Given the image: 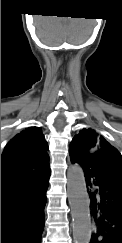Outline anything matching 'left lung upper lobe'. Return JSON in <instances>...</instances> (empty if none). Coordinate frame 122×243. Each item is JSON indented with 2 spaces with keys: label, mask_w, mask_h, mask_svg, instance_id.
Returning a JSON list of instances; mask_svg holds the SVG:
<instances>
[{
  "label": "left lung upper lobe",
  "mask_w": 122,
  "mask_h": 243,
  "mask_svg": "<svg viewBox=\"0 0 122 243\" xmlns=\"http://www.w3.org/2000/svg\"><path fill=\"white\" fill-rule=\"evenodd\" d=\"M103 151L119 153L115 147L90 128L82 129L70 143V159L72 163H79L81 158L88 155H98Z\"/></svg>",
  "instance_id": "left-lung-upper-lobe-1"
}]
</instances>
